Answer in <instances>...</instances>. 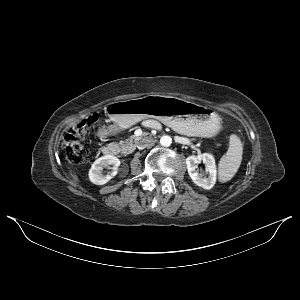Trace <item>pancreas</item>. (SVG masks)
I'll list each match as a JSON object with an SVG mask.
<instances>
[{
    "label": "pancreas",
    "instance_id": "pancreas-1",
    "mask_svg": "<svg viewBox=\"0 0 300 300\" xmlns=\"http://www.w3.org/2000/svg\"><path fill=\"white\" fill-rule=\"evenodd\" d=\"M138 141L139 137L133 135L126 141H120L117 145L119 146L120 151L126 155L134 150L135 146L138 144Z\"/></svg>",
    "mask_w": 300,
    "mask_h": 300
}]
</instances>
